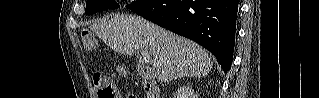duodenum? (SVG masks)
Instances as JSON below:
<instances>
[{"instance_id":"410a0bca","label":"duodenum","mask_w":319,"mask_h":98,"mask_svg":"<svg viewBox=\"0 0 319 98\" xmlns=\"http://www.w3.org/2000/svg\"><path fill=\"white\" fill-rule=\"evenodd\" d=\"M142 83L147 98H160L159 86L154 80L143 78Z\"/></svg>"}]
</instances>
